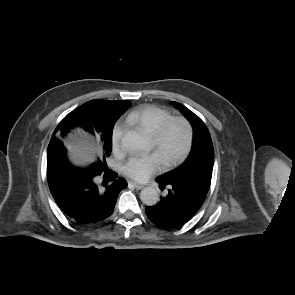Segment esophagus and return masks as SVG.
<instances>
[{
  "mask_svg": "<svg viewBox=\"0 0 295 295\" xmlns=\"http://www.w3.org/2000/svg\"><path fill=\"white\" fill-rule=\"evenodd\" d=\"M130 183L136 188V189H143L144 188V185L142 184H139L135 181H130Z\"/></svg>",
  "mask_w": 295,
  "mask_h": 295,
  "instance_id": "esophagus-1",
  "label": "esophagus"
}]
</instances>
